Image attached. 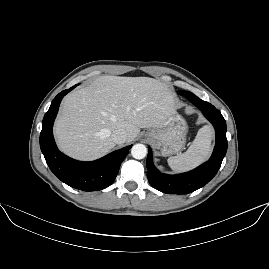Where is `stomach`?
<instances>
[{
    "label": "stomach",
    "instance_id": "obj_1",
    "mask_svg": "<svg viewBox=\"0 0 269 269\" xmlns=\"http://www.w3.org/2000/svg\"><path fill=\"white\" fill-rule=\"evenodd\" d=\"M185 122L177 114L170 116L162 129H151L148 132L152 140L160 149L162 155H169L180 151L185 143Z\"/></svg>",
    "mask_w": 269,
    "mask_h": 269
}]
</instances>
